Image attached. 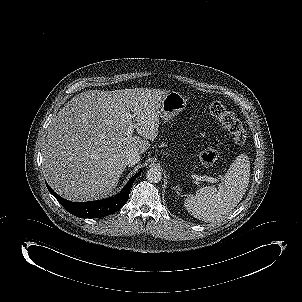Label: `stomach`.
<instances>
[{
	"instance_id": "0dacf381",
	"label": "stomach",
	"mask_w": 302,
	"mask_h": 302,
	"mask_svg": "<svg viewBox=\"0 0 302 302\" xmlns=\"http://www.w3.org/2000/svg\"><path fill=\"white\" fill-rule=\"evenodd\" d=\"M187 105V99L179 92H168L160 103L159 114L162 119L169 121L175 115L182 112Z\"/></svg>"
}]
</instances>
